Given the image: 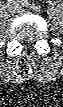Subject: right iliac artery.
<instances>
[{
  "mask_svg": "<svg viewBox=\"0 0 63 107\" xmlns=\"http://www.w3.org/2000/svg\"><path fill=\"white\" fill-rule=\"evenodd\" d=\"M13 3H14V2H13L12 0H8V1H7V4H8V5H11V4H13ZM16 4H17V5H21V4H18V3H16ZM22 6H23V5H22Z\"/></svg>",
  "mask_w": 63,
  "mask_h": 107,
  "instance_id": "right-iliac-artery-1",
  "label": "right iliac artery"
}]
</instances>
